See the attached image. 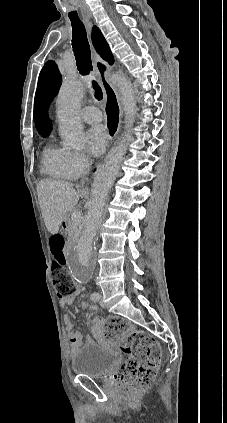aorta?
Segmentation results:
<instances>
[{
  "mask_svg": "<svg viewBox=\"0 0 227 423\" xmlns=\"http://www.w3.org/2000/svg\"><path fill=\"white\" fill-rule=\"evenodd\" d=\"M112 81L120 91L126 116V127L130 129L136 108L133 85L125 76L117 73L113 75ZM83 94L84 83L75 76H69L63 82L58 94L57 119L64 146L67 148L81 149L84 146L83 124L79 117ZM127 142L126 137L121 138L98 169L92 184L91 204L83 234L67 253L68 270L78 282L88 281L93 274L96 263L95 237L102 222L106 196L124 160Z\"/></svg>",
  "mask_w": 227,
  "mask_h": 423,
  "instance_id": "obj_1",
  "label": "aorta"
}]
</instances>
